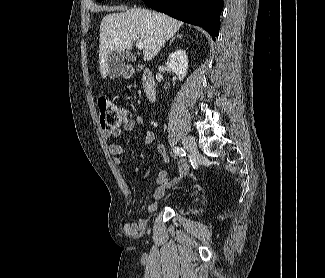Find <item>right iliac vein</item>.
<instances>
[{
	"instance_id": "63e3f726",
	"label": "right iliac vein",
	"mask_w": 325,
	"mask_h": 278,
	"mask_svg": "<svg viewBox=\"0 0 325 278\" xmlns=\"http://www.w3.org/2000/svg\"><path fill=\"white\" fill-rule=\"evenodd\" d=\"M184 147L195 157L199 156V151L195 139L192 136H184L182 139Z\"/></svg>"
}]
</instances>
